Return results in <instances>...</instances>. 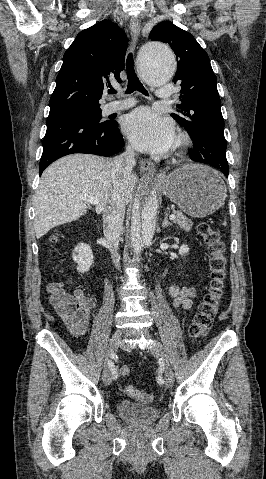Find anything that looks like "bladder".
Returning <instances> with one entry per match:
<instances>
[{
  "instance_id": "31cf9c89",
  "label": "bladder",
  "mask_w": 266,
  "mask_h": 479,
  "mask_svg": "<svg viewBox=\"0 0 266 479\" xmlns=\"http://www.w3.org/2000/svg\"><path fill=\"white\" fill-rule=\"evenodd\" d=\"M116 411L122 419L131 424H151L160 415L159 408L154 405H141L128 400L117 402Z\"/></svg>"
}]
</instances>
